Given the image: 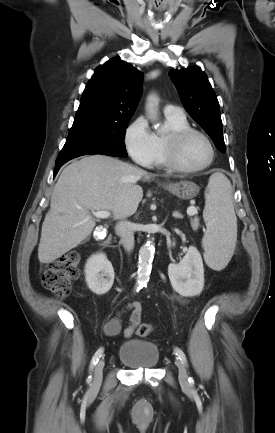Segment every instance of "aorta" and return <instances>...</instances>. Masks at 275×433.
I'll return each mask as SVG.
<instances>
[{
    "label": "aorta",
    "instance_id": "aorta-1",
    "mask_svg": "<svg viewBox=\"0 0 275 433\" xmlns=\"http://www.w3.org/2000/svg\"><path fill=\"white\" fill-rule=\"evenodd\" d=\"M157 108L158 97L154 94L149 95L147 98L146 110L150 119H156ZM153 257L154 246L152 241L149 240L139 250L137 283L141 286L146 285L149 281Z\"/></svg>",
    "mask_w": 275,
    "mask_h": 433
}]
</instances>
